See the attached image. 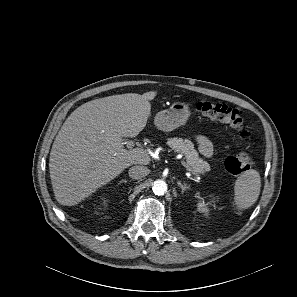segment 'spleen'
Returning a JSON list of instances; mask_svg holds the SVG:
<instances>
[{
  "label": "spleen",
  "instance_id": "3e777b00",
  "mask_svg": "<svg viewBox=\"0 0 297 297\" xmlns=\"http://www.w3.org/2000/svg\"><path fill=\"white\" fill-rule=\"evenodd\" d=\"M261 188V178L256 170L243 172L234 186V202L241 209L251 207L258 199Z\"/></svg>",
  "mask_w": 297,
  "mask_h": 297
}]
</instances>
